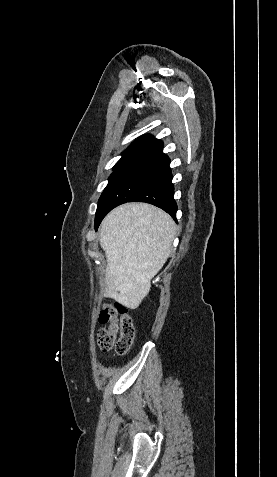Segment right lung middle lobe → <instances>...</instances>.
Listing matches in <instances>:
<instances>
[{"label": "right lung middle lobe", "instance_id": "right-lung-middle-lobe-1", "mask_svg": "<svg viewBox=\"0 0 277 477\" xmlns=\"http://www.w3.org/2000/svg\"><path fill=\"white\" fill-rule=\"evenodd\" d=\"M161 171L159 168L130 166L115 169L98 201L95 229L106 214L116 206L129 202Z\"/></svg>", "mask_w": 277, "mask_h": 477}]
</instances>
